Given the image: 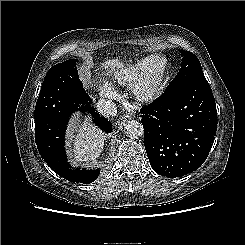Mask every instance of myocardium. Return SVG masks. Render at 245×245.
Segmentation results:
<instances>
[{
    "mask_svg": "<svg viewBox=\"0 0 245 245\" xmlns=\"http://www.w3.org/2000/svg\"><path fill=\"white\" fill-rule=\"evenodd\" d=\"M155 61L161 63L156 75H152V67ZM169 73V64L162 55H152L149 57L141 75L133 85L132 92L134 98L140 103H151L162 93Z\"/></svg>",
    "mask_w": 245,
    "mask_h": 245,
    "instance_id": "f54148a6",
    "label": "myocardium"
}]
</instances>
